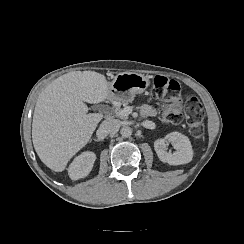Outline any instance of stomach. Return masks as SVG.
<instances>
[{"mask_svg": "<svg viewBox=\"0 0 244 244\" xmlns=\"http://www.w3.org/2000/svg\"><path fill=\"white\" fill-rule=\"evenodd\" d=\"M150 85L151 80L145 74L119 72L109 83L110 98L121 102H131L137 94L144 93Z\"/></svg>", "mask_w": 244, "mask_h": 244, "instance_id": "obj_1", "label": "stomach"}]
</instances>
